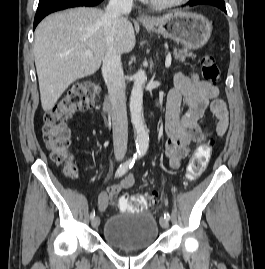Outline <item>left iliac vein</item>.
<instances>
[{"label":"left iliac vein","instance_id":"1","mask_svg":"<svg viewBox=\"0 0 265 269\" xmlns=\"http://www.w3.org/2000/svg\"><path fill=\"white\" fill-rule=\"evenodd\" d=\"M160 225L162 228H168L169 227V222L167 219L165 218H161L160 219Z\"/></svg>","mask_w":265,"mask_h":269}]
</instances>
